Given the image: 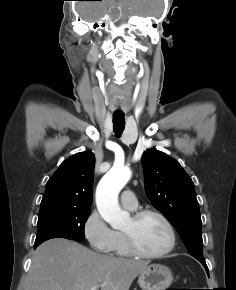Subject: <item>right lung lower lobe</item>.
I'll return each mask as SVG.
<instances>
[{"mask_svg":"<svg viewBox=\"0 0 236 290\" xmlns=\"http://www.w3.org/2000/svg\"><path fill=\"white\" fill-rule=\"evenodd\" d=\"M37 246H39V245H34V249L37 248Z\"/></svg>","mask_w":236,"mask_h":290,"instance_id":"98d812e1","label":"right lung lower lobe"}]
</instances>
